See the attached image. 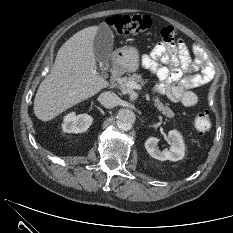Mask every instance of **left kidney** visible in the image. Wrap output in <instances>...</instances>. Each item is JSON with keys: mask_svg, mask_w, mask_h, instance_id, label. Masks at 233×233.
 Returning <instances> with one entry per match:
<instances>
[{"mask_svg": "<svg viewBox=\"0 0 233 233\" xmlns=\"http://www.w3.org/2000/svg\"><path fill=\"white\" fill-rule=\"evenodd\" d=\"M170 149L161 151L157 148L159 139L150 137L145 142V148L151 157L160 161H179L185 156V144L182 135L177 130H171L168 133Z\"/></svg>", "mask_w": 233, "mask_h": 233, "instance_id": "1", "label": "left kidney"}]
</instances>
